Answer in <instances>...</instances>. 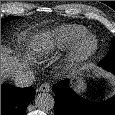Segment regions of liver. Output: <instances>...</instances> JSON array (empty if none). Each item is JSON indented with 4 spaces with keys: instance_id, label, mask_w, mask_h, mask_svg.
<instances>
[{
    "instance_id": "6515ba94",
    "label": "liver",
    "mask_w": 115,
    "mask_h": 115,
    "mask_svg": "<svg viewBox=\"0 0 115 115\" xmlns=\"http://www.w3.org/2000/svg\"><path fill=\"white\" fill-rule=\"evenodd\" d=\"M23 68L24 62H19L17 57H12L8 50L1 47V82L7 77H14Z\"/></svg>"
}]
</instances>
